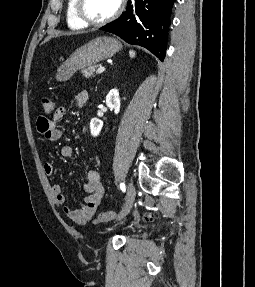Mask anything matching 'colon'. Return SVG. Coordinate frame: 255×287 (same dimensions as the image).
Segmentation results:
<instances>
[{"instance_id": "obj_1", "label": "colon", "mask_w": 255, "mask_h": 287, "mask_svg": "<svg viewBox=\"0 0 255 287\" xmlns=\"http://www.w3.org/2000/svg\"><path fill=\"white\" fill-rule=\"evenodd\" d=\"M41 105H42L43 112L46 115H51L54 113L55 103L51 99L43 98L41 100ZM115 216H116V213L114 211H106V212L100 213L98 216V219L101 222H106V221L112 220Z\"/></svg>"}]
</instances>
